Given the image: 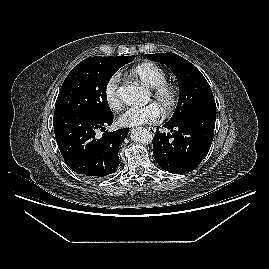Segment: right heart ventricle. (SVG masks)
<instances>
[{"label": "right heart ventricle", "mask_w": 269, "mask_h": 269, "mask_svg": "<svg viewBox=\"0 0 269 269\" xmlns=\"http://www.w3.org/2000/svg\"><path fill=\"white\" fill-rule=\"evenodd\" d=\"M131 73L151 89L167 82L166 72L160 66L151 62L137 65Z\"/></svg>", "instance_id": "1"}]
</instances>
